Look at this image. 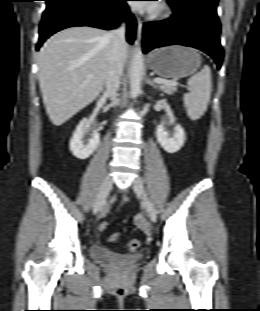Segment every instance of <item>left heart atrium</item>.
<instances>
[{
  "label": "left heart atrium",
  "mask_w": 260,
  "mask_h": 311,
  "mask_svg": "<svg viewBox=\"0 0 260 311\" xmlns=\"http://www.w3.org/2000/svg\"><path fill=\"white\" fill-rule=\"evenodd\" d=\"M148 2H155V1H148ZM134 6L139 11H153V10L156 9V5L155 4H141L139 2H136L134 4Z\"/></svg>",
  "instance_id": "39dd6f15"
}]
</instances>
